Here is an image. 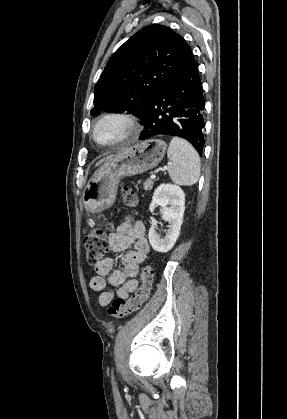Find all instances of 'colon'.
Returning a JSON list of instances; mask_svg holds the SVG:
<instances>
[{
  "label": "colon",
  "mask_w": 287,
  "mask_h": 419,
  "mask_svg": "<svg viewBox=\"0 0 287 419\" xmlns=\"http://www.w3.org/2000/svg\"><path fill=\"white\" fill-rule=\"evenodd\" d=\"M122 198L126 206L133 207L137 202L135 192L129 187H123ZM111 226L105 228H97L89 232L84 238V246L87 253L88 262L96 266L101 263L107 254L108 244L105 238L106 230H110ZM141 286L128 299L117 298L108 308V315L113 319H120L137 312L147 301L150 295L153 272L149 266L143 268L141 275Z\"/></svg>",
  "instance_id": "1"
}]
</instances>
